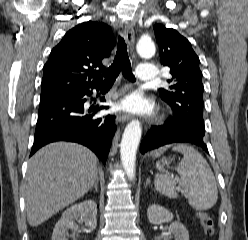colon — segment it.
I'll list each match as a JSON object with an SVG mask.
<instances>
[{
  "mask_svg": "<svg viewBox=\"0 0 248 240\" xmlns=\"http://www.w3.org/2000/svg\"><path fill=\"white\" fill-rule=\"evenodd\" d=\"M198 217L200 219L202 227L204 228L205 233L211 235L214 230V223L212 218L207 213L204 212L199 213Z\"/></svg>",
  "mask_w": 248,
  "mask_h": 240,
  "instance_id": "colon-1",
  "label": "colon"
}]
</instances>
